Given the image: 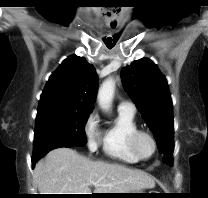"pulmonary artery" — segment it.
Masks as SVG:
<instances>
[{"label":"pulmonary artery","instance_id":"1","mask_svg":"<svg viewBox=\"0 0 208 198\" xmlns=\"http://www.w3.org/2000/svg\"><path fill=\"white\" fill-rule=\"evenodd\" d=\"M118 110L134 114L135 113V106L131 102L121 101L118 105Z\"/></svg>","mask_w":208,"mask_h":198}]
</instances>
